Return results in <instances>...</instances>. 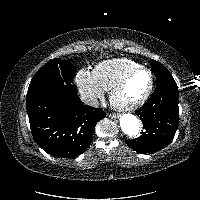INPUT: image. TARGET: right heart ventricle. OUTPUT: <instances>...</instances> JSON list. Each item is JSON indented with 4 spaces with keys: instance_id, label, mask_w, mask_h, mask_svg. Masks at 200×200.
<instances>
[{
    "instance_id": "obj_1",
    "label": "right heart ventricle",
    "mask_w": 200,
    "mask_h": 200,
    "mask_svg": "<svg viewBox=\"0 0 200 200\" xmlns=\"http://www.w3.org/2000/svg\"><path fill=\"white\" fill-rule=\"evenodd\" d=\"M141 66L130 58H113L100 62L94 68L97 81L106 90H110L130 70Z\"/></svg>"
}]
</instances>
